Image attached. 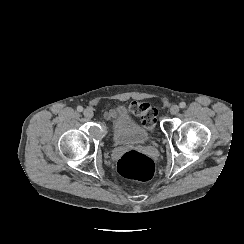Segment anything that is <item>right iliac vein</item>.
<instances>
[{
	"label": "right iliac vein",
	"instance_id": "obj_1",
	"mask_svg": "<svg viewBox=\"0 0 244 244\" xmlns=\"http://www.w3.org/2000/svg\"><path fill=\"white\" fill-rule=\"evenodd\" d=\"M83 115H84L86 118L90 119V118L93 117L94 113H93L92 109H90V108H86V109L83 111Z\"/></svg>",
	"mask_w": 244,
	"mask_h": 244
}]
</instances>
